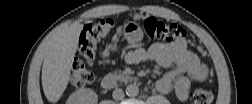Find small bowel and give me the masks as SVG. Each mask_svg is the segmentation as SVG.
Segmentation results:
<instances>
[{
    "label": "small bowel",
    "instance_id": "1",
    "mask_svg": "<svg viewBox=\"0 0 252 104\" xmlns=\"http://www.w3.org/2000/svg\"><path fill=\"white\" fill-rule=\"evenodd\" d=\"M128 64L155 61L167 71L158 79L157 90L162 94L175 91L177 98L185 101L193 83L207 78L208 70L201 64L196 54L188 50L184 38L171 43H154L149 48H135L127 53Z\"/></svg>",
    "mask_w": 252,
    "mask_h": 104
}]
</instances>
